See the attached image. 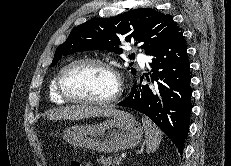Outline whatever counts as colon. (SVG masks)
Instances as JSON below:
<instances>
[{"label":"colon","instance_id":"colon-1","mask_svg":"<svg viewBox=\"0 0 231 166\" xmlns=\"http://www.w3.org/2000/svg\"><path fill=\"white\" fill-rule=\"evenodd\" d=\"M69 166H85V164L78 161H71Z\"/></svg>","mask_w":231,"mask_h":166}]
</instances>
